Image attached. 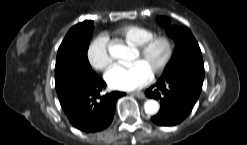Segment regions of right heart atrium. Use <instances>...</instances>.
<instances>
[{"mask_svg":"<svg viewBox=\"0 0 247 145\" xmlns=\"http://www.w3.org/2000/svg\"><path fill=\"white\" fill-rule=\"evenodd\" d=\"M87 59L90 65L99 71L105 70L112 63L106 36L98 35L89 43Z\"/></svg>","mask_w":247,"mask_h":145,"instance_id":"1","label":"right heart atrium"}]
</instances>
